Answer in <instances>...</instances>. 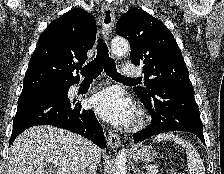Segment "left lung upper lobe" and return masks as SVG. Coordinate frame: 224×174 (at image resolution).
Returning <instances> with one entry per match:
<instances>
[{
  "label": "left lung upper lobe",
  "mask_w": 224,
  "mask_h": 174,
  "mask_svg": "<svg viewBox=\"0 0 224 174\" xmlns=\"http://www.w3.org/2000/svg\"><path fill=\"white\" fill-rule=\"evenodd\" d=\"M116 32L129 41L132 63L143 66L146 88H134L138 96H150L158 87L193 88L178 44L160 20L130 9L118 20Z\"/></svg>",
  "instance_id": "left-lung-upper-lobe-1"
}]
</instances>
